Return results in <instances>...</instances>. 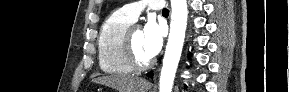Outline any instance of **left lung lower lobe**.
<instances>
[{
  "instance_id": "1",
  "label": "left lung lower lobe",
  "mask_w": 289,
  "mask_h": 92,
  "mask_svg": "<svg viewBox=\"0 0 289 92\" xmlns=\"http://www.w3.org/2000/svg\"><path fill=\"white\" fill-rule=\"evenodd\" d=\"M148 75L152 76V75H153V73H152V72H150Z\"/></svg>"
}]
</instances>
